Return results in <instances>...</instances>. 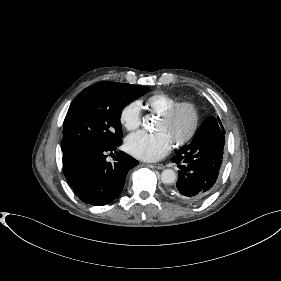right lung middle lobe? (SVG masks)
Instances as JSON below:
<instances>
[{"label":"right lung middle lobe","instance_id":"obj_1","mask_svg":"<svg viewBox=\"0 0 281 281\" xmlns=\"http://www.w3.org/2000/svg\"><path fill=\"white\" fill-rule=\"evenodd\" d=\"M150 90L147 86L99 82L77 95L63 124V158L88 147L122 141L121 111Z\"/></svg>","mask_w":281,"mask_h":281}]
</instances>
